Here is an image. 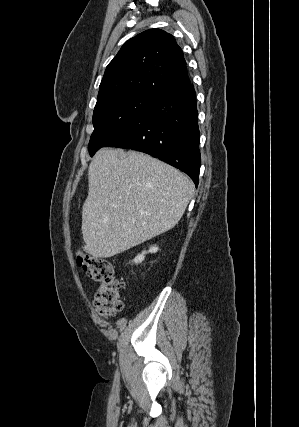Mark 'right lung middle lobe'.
Segmentation results:
<instances>
[{
	"label": "right lung middle lobe",
	"instance_id": "right-lung-middle-lobe-1",
	"mask_svg": "<svg viewBox=\"0 0 299 427\" xmlns=\"http://www.w3.org/2000/svg\"><path fill=\"white\" fill-rule=\"evenodd\" d=\"M153 100L137 94H118L97 101L93 113L94 131L89 142L90 155L125 131Z\"/></svg>",
	"mask_w": 299,
	"mask_h": 427
}]
</instances>
